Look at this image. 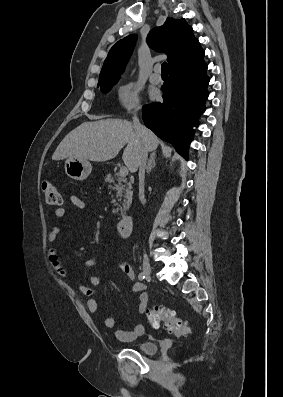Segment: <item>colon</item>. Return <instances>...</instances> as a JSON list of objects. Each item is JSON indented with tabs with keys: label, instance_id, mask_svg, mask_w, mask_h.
<instances>
[{
	"label": "colon",
	"instance_id": "obj_1",
	"mask_svg": "<svg viewBox=\"0 0 283 397\" xmlns=\"http://www.w3.org/2000/svg\"><path fill=\"white\" fill-rule=\"evenodd\" d=\"M42 193L48 205L59 206L61 204V195L51 182L44 181L42 183ZM147 319L152 328L158 329L164 326L175 335H185L190 330L186 321L178 318L174 311L163 306L152 307L147 314Z\"/></svg>",
	"mask_w": 283,
	"mask_h": 397
}]
</instances>
